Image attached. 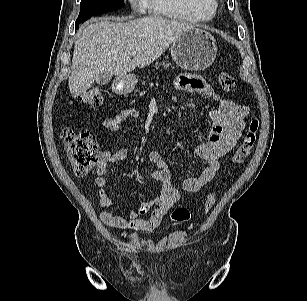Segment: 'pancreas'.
<instances>
[{
  "mask_svg": "<svg viewBox=\"0 0 307 301\" xmlns=\"http://www.w3.org/2000/svg\"><path fill=\"white\" fill-rule=\"evenodd\" d=\"M160 65H161V64L156 63V64H155V68H156V69H159ZM169 66H171L170 63H164V67H165V68H168ZM173 68H174V67H173ZM147 78H149V76H147ZM142 84H145V82H142Z\"/></svg>",
  "mask_w": 307,
  "mask_h": 301,
  "instance_id": "1",
  "label": "pancreas"
}]
</instances>
